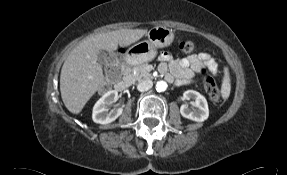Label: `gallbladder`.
<instances>
[{"label":"gallbladder","instance_id":"obj_1","mask_svg":"<svg viewBox=\"0 0 287 175\" xmlns=\"http://www.w3.org/2000/svg\"><path fill=\"white\" fill-rule=\"evenodd\" d=\"M97 62H98L100 65H106V63L108 62L107 54H106L103 50H100V51H99V53H98V58H97Z\"/></svg>","mask_w":287,"mask_h":175}]
</instances>
